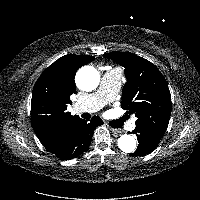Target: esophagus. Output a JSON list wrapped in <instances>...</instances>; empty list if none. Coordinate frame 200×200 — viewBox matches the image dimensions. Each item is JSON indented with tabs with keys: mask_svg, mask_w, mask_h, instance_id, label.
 I'll list each match as a JSON object with an SVG mask.
<instances>
[{
	"mask_svg": "<svg viewBox=\"0 0 200 200\" xmlns=\"http://www.w3.org/2000/svg\"><path fill=\"white\" fill-rule=\"evenodd\" d=\"M110 131L114 134H118V133H121V131L117 128H113V127H109Z\"/></svg>",
	"mask_w": 200,
	"mask_h": 200,
	"instance_id": "obj_1",
	"label": "esophagus"
}]
</instances>
